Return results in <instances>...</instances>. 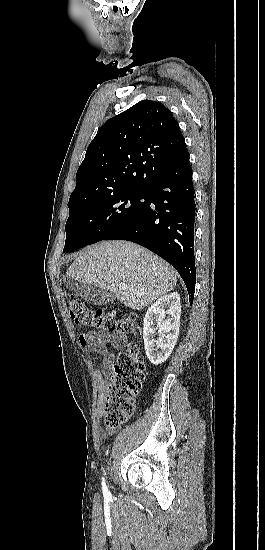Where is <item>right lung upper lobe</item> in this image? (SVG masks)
<instances>
[{"instance_id": "1", "label": "right lung upper lobe", "mask_w": 265, "mask_h": 550, "mask_svg": "<svg viewBox=\"0 0 265 550\" xmlns=\"http://www.w3.org/2000/svg\"><path fill=\"white\" fill-rule=\"evenodd\" d=\"M186 149L171 111L160 102L142 100L98 130L78 168L69 202L148 189Z\"/></svg>"}]
</instances>
